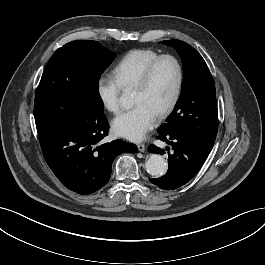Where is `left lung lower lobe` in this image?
I'll return each instance as SVG.
<instances>
[{"label": "left lung lower lobe", "mask_w": 265, "mask_h": 265, "mask_svg": "<svg viewBox=\"0 0 265 265\" xmlns=\"http://www.w3.org/2000/svg\"><path fill=\"white\" fill-rule=\"evenodd\" d=\"M158 139L165 141L172 146L173 154L169 153L168 171L160 177L150 179V181L164 190H173L181 187L191 180L204 164L210 152H207L196 141L186 136L177 134H159ZM149 152L161 154V150L155 145H150ZM169 150V147H166Z\"/></svg>", "instance_id": "obj_1"}]
</instances>
